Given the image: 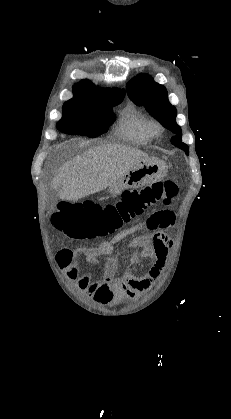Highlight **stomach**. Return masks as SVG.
Wrapping results in <instances>:
<instances>
[{"label":"stomach","mask_w":231,"mask_h":419,"mask_svg":"<svg viewBox=\"0 0 231 419\" xmlns=\"http://www.w3.org/2000/svg\"><path fill=\"white\" fill-rule=\"evenodd\" d=\"M167 173L165 162L154 157L138 160L134 166L109 188L116 196L127 189L140 188L146 184L163 180Z\"/></svg>","instance_id":"1"}]
</instances>
